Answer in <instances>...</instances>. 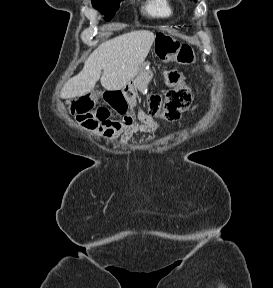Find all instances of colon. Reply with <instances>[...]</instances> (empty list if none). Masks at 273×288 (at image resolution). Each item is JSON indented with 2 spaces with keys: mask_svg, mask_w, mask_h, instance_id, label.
Segmentation results:
<instances>
[{
  "mask_svg": "<svg viewBox=\"0 0 273 288\" xmlns=\"http://www.w3.org/2000/svg\"><path fill=\"white\" fill-rule=\"evenodd\" d=\"M156 52L158 57L166 62L182 65H191L195 62V53L190 46L163 34L157 36ZM165 78L168 89L164 97L156 93L149 94L146 99L147 110L152 116L175 122L189 107L191 93L181 72L169 69L165 73ZM102 97L105 105L101 106L97 105L92 95H82L71 102L70 112L84 128L118 129L134 123L127 100L121 91L106 90Z\"/></svg>",
  "mask_w": 273,
  "mask_h": 288,
  "instance_id": "1",
  "label": "colon"
}]
</instances>
